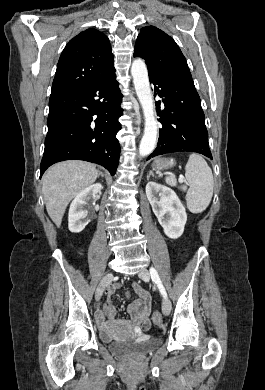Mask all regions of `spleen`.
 <instances>
[{"label": "spleen", "instance_id": "1", "mask_svg": "<svg viewBox=\"0 0 265 390\" xmlns=\"http://www.w3.org/2000/svg\"><path fill=\"white\" fill-rule=\"evenodd\" d=\"M185 177L189 190L186 194L187 207L190 212L198 214L206 210L213 196L214 180L211 168L199 154H191L185 166ZM166 183L176 186L174 177L166 178ZM185 189V186L182 187Z\"/></svg>", "mask_w": 265, "mask_h": 390}]
</instances>
